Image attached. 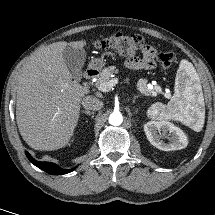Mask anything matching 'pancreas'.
<instances>
[{"instance_id": "cf45deb5", "label": "pancreas", "mask_w": 215, "mask_h": 215, "mask_svg": "<svg viewBox=\"0 0 215 215\" xmlns=\"http://www.w3.org/2000/svg\"><path fill=\"white\" fill-rule=\"evenodd\" d=\"M119 70L115 66H109L104 68L98 78L96 85H100L101 83L110 81L111 77L114 73H118ZM147 79L142 78L137 83V88L139 92L145 96H156L157 92L161 90L160 86H155L153 89L147 86Z\"/></svg>"}]
</instances>
